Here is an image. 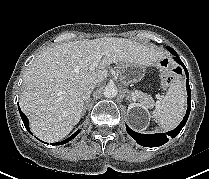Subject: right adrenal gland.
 <instances>
[{"label": "right adrenal gland", "instance_id": "1", "mask_svg": "<svg viewBox=\"0 0 209 179\" xmlns=\"http://www.w3.org/2000/svg\"><path fill=\"white\" fill-rule=\"evenodd\" d=\"M90 101H91V98H88V100H87L86 103H85V106H84V109H83L82 116H84V114H85V112H86V110H87V107H88Z\"/></svg>", "mask_w": 209, "mask_h": 179}]
</instances>
